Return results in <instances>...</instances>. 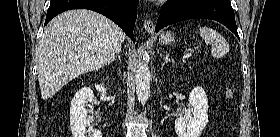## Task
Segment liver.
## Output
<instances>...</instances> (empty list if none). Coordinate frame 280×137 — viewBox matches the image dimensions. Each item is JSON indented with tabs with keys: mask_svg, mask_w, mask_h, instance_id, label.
<instances>
[{
	"mask_svg": "<svg viewBox=\"0 0 280 137\" xmlns=\"http://www.w3.org/2000/svg\"><path fill=\"white\" fill-rule=\"evenodd\" d=\"M110 19L91 10L66 11L46 26L38 47V81L43 99L72 79L109 62L125 40Z\"/></svg>",
	"mask_w": 280,
	"mask_h": 137,
	"instance_id": "6515ba94",
	"label": "liver"
}]
</instances>
